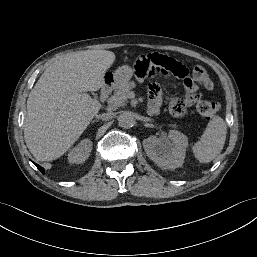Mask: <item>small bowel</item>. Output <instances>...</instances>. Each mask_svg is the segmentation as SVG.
Masks as SVG:
<instances>
[{"instance_id":"obj_1","label":"small bowel","mask_w":257,"mask_h":257,"mask_svg":"<svg viewBox=\"0 0 257 257\" xmlns=\"http://www.w3.org/2000/svg\"><path fill=\"white\" fill-rule=\"evenodd\" d=\"M133 69V80L140 85L158 76H164L169 80H184L181 87L186 94L181 99L175 98L174 91L165 86L155 87L151 85L148 93V111L150 114H157L161 101H166L169 102V109L173 116L183 117L198 100L194 83L197 77L196 72L182 65L174 57L159 53H146L135 58Z\"/></svg>"}]
</instances>
